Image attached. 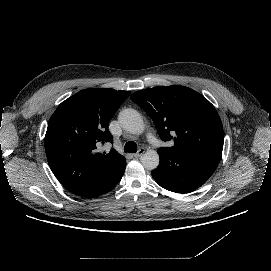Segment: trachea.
<instances>
[{
    "mask_svg": "<svg viewBox=\"0 0 271 271\" xmlns=\"http://www.w3.org/2000/svg\"><path fill=\"white\" fill-rule=\"evenodd\" d=\"M137 150V144L134 141H128L124 146L125 152H136Z\"/></svg>",
    "mask_w": 271,
    "mask_h": 271,
    "instance_id": "3493384b",
    "label": "trachea"
}]
</instances>
